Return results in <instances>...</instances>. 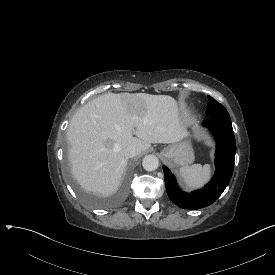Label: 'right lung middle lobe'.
I'll use <instances>...</instances> for the list:
<instances>
[{"mask_svg": "<svg viewBox=\"0 0 275 275\" xmlns=\"http://www.w3.org/2000/svg\"><path fill=\"white\" fill-rule=\"evenodd\" d=\"M61 159H62V167L64 173L71 181L72 187L74 188L75 193L78 195V198L86 204L88 207L92 209H107L108 207H113L118 204L123 198L127 195L129 185L131 184L133 177L129 173L123 174L122 180L119 182L117 187L113 189L109 193H99L95 192L94 198L92 194H85L90 192V186L84 185L83 190L80 187V181L76 180V175L73 174L71 165H72V152H71V144L65 143L61 147ZM130 170L136 171L137 164L131 163ZM107 196H113L108 197Z\"/></svg>", "mask_w": 275, "mask_h": 275, "instance_id": "right-lung-middle-lobe-1", "label": "right lung middle lobe"}]
</instances>
